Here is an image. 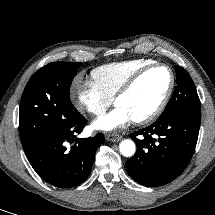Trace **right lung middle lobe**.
<instances>
[{
	"mask_svg": "<svg viewBox=\"0 0 215 215\" xmlns=\"http://www.w3.org/2000/svg\"><path fill=\"white\" fill-rule=\"evenodd\" d=\"M81 65L52 62L40 68L28 81L19 111V133L24 149L80 116L70 101L69 89Z\"/></svg>",
	"mask_w": 215,
	"mask_h": 215,
	"instance_id": "dd1d6c3e",
	"label": "right lung middle lobe"
}]
</instances>
